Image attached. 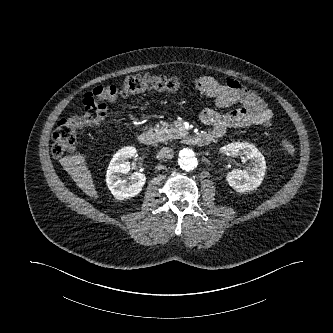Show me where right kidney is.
Instances as JSON below:
<instances>
[{
    "label": "right kidney",
    "instance_id": "obj_1",
    "mask_svg": "<svg viewBox=\"0 0 333 333\" xmlns=\"http://www.w3.org/2000/svg\"><path fill=\"white\" fill-rule=\"evenodd\" d=\"M136 152L134 147H123L116 152L108 166L106 183L117 200L135 197L141 192L146 182V176L138 172L134 173L129 180L122 178V174H127L130 170V162L127 159L134 157Z\"/></svg>",
    "mask_w": 333,
    "mask_h": 333
}]
</instances>
